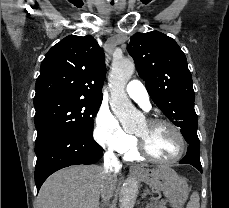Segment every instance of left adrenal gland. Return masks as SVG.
Returning a JSON list of instances; mask_svg holds the SVG:
<instances>
[{
    "mask_svg": "<svg viewBox=\"0 0 229 208\" xmlns=\"http://www.w3.org/2000/svg\"><path fill=\"white\" fill-rule=\"evenodd\" d=\"M145 192H147V190H145ZM144 196H146V194H142V198H144Z\"/></svg>",
    "mask_w": 229,
    "mask_h": 208,
    "instance_id": "left-adrenal-gland-1",
    "label": "left adrenal gland"
}]
</instances>
